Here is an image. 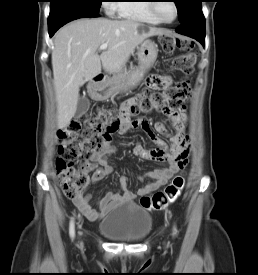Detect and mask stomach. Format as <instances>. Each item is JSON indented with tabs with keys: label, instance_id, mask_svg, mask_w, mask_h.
<instances>
[{
	"label": "stomach",
	"instance_id": "obj_1",
	"mask_svg": "<svg viewBox=\"0 0 258 275\" xmlns=\"http://www.w3.org/2000/svg\"><path fill=\"white\" fill-rule=\"evenodd\" d=\"M138 67L129 76L118 79H106L96 83L91 89V96L95 100H105L114 93L135 87L144 77V75L154 65L158 46L150 39L144 40L138 48Z\"/></svg>",
	"mask_w": 258,
	"mask_h": 275
}]
</instances>
